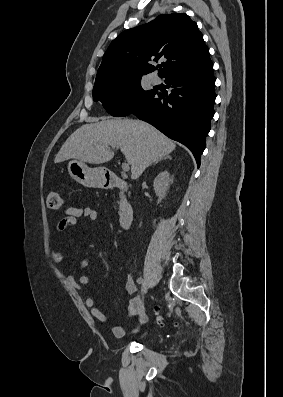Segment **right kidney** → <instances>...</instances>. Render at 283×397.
Segmentation results:
<instances>
[{
	"label": "right kidney",
	"mask_w": 283,
	"mask_h": 397,
	"mask_svg": "<svg viewBox=\"0 0 283 397\" xmlns=\"http://www.w3.org/2000/svg\"><path fill=\"white\" fill-rule=\"evenodd\" d=\"M170 182H172V179L167 170L160 172L154 179L153 187L158 197V203H160L165 197L166 191L169 189Z\"/></svg>",
	"instance_id": "obj_1"
}]
</instances>
